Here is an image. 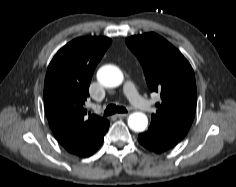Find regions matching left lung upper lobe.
I'll use <instances>...</instances> for the list:
<instances>
[{
	"instance_id": "obj_1",
	"label": "left lung upper lobe",
	"mask_w": 236,
	"mask_h": 187,
	"mask_svg": "<svg viewBox=\"0 0 236 187\" xmlns=\"http://www.w3.org/2000/svg\"><path fill=\"white\" fill-rule=\"evenodd\" d=\"M126 44L140 61L150 90L161 95L148 130L182 140L191 127L197 103L191 65L179 50L155 33L129 37Z\"/></svg>"
}]
</instances>
